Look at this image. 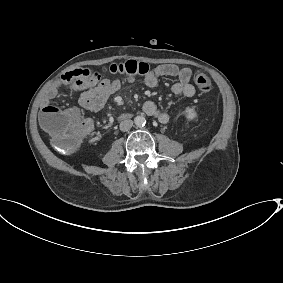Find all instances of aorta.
<instances>
[{"mask_svg": "<svg viewBox=\"0 0 283 283\" xmlns=\"http://www.w3.org/2000/svg\"><path fill=\"white\" fill-rule=\"evenodd\" d=\"M134 122L137 126L141 127L146 124V119L143 116H136Z\"/></svg>", "mask_w": 283, "mask_h": 283, "instance_id": "1", "label": "aorta"}]
</instances>
